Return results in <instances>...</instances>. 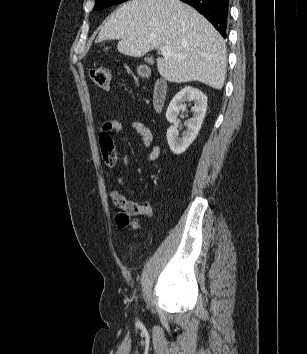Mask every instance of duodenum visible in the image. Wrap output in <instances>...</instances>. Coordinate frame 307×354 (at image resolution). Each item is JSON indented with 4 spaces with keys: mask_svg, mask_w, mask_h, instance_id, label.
I'll return each instance as SVG.
<instances>
[{
    "mask_svg": "<svg viewBox=\"0 0 307 354\" xmlns=\"http://www.w3.org/2000/svg\"><path fill=\"white\" fill-rule=\"evenodd\" d=\"M166 96H167V84L163 80H158L155 83L153 97H152V104L156 111H159L162 108L166 100Z\"/></svg>",
    "mask_w": 307,
    "mask_h": 354,
    "instance_id": "duodenum-1",
    "label": "duodenum"
}]
</instances>
